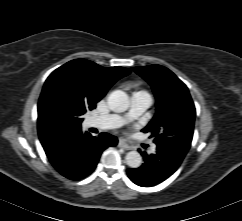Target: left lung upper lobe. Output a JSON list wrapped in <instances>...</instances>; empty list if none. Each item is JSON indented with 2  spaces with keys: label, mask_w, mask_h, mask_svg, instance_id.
Returning a JSON list of instances; mask_svg holds the SVG:
<instances>
[{
  "label": "left lung upper lobe",
  "mask_w": 242,
  "mask_h": 221,
  "mask_svg": "<svg viewBox=\"0 0 242 221\" xmlns=\"http://www.w3.org/2000/svg\"><path fill=\"white\" fill-rule=\"evenodd\" d=\"M133 70L151 85L157 100L156 114L142 131L151 132L156 145L171 146L187 153L196 115L187 86L160 65L133 67Z\"/></svg>",
  "instance_id": "left-lung-upper-lobe-1"
}]
</instances>
